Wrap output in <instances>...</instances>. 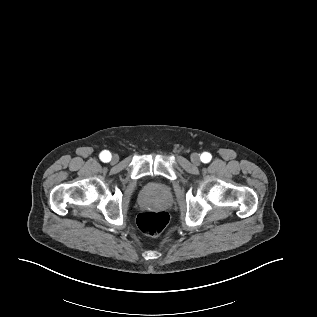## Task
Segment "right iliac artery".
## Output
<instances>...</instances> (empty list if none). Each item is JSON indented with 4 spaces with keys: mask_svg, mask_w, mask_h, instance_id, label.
<instances>
[{
    "mask_svg": "<svg viewBox=\"0 0 317 317\" xmlns=\"http://www.w3.org/2000/svg\"><path fill=\"white\" fill-rule=\"evenodd\" d=\"M100 159L103 161V162H109L111 160V154L109 151H102L100 153Z\"/></svg>",
    "mask_w": 317,
    "mask_h": 317,
    "instance_id": "82829eb1",
    "label": "right iliac artery"
}]
</instances>
